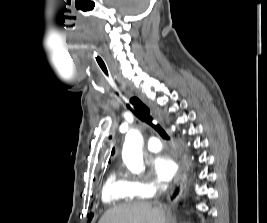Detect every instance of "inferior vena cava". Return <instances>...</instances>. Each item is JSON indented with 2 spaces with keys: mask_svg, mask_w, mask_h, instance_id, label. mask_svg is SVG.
<instances>
[{
  "mask_svg": "<svg viewBox=\"0 0 267 223\" xmlns=\"http://www.w3.org/2000/svg\"><path fill=\"white\" fill-rule=\"evenodd\" d=\"M158 188H159V195H161V193L166 190L167 185L166 184H160V185H158ZM154 203L159 204L157 197H156Z\"/></svg>",
  "mask_w": 267,
  "mask_h": 223,
  "instance_id": "inferior-vena-cava-1",
  "label": "inferior vena cava"
}]
</instances>
